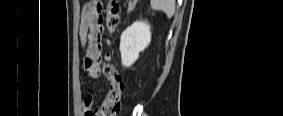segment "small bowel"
I'll list each match as a JSON object with an SVG mask.
<instances>
[{"label": "small bowel", "instance_id": "c3829d8e", "mask_svg": "<svg viewBox=\"0 0 283 116\" xmlns=\"http://www.w3.org/2000/svg\"><path fill=\"white\" fill-rule=\"evenodd\" d=\"M101 1L93 0L83 8L79 35L82 45L85 47L83 59V71L90 79H98L101 74V39L103 34L102 17L100 15ZM83 110L86 116H104L100 109L94 108V99L86 96L83 102Z\"/></svg>", "mask_w": 283, "mask_h": 116}]
</instances>
